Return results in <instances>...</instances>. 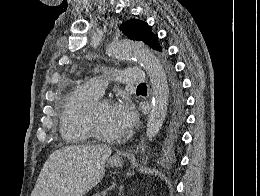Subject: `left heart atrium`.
Returning a JSON list of instances; mask_svg holds the SVG:
<instances>
[{
    "label": "left heart atrium",
    "mask_w": 260,
    "mask_h": 196,
    "mask_svg": "<svg viewBox=\"0 0 260 196\" xmlns=\"http://www.w3.org/2000/svg\"><path fill=\"white\" fill-rule=\"evenodd\" d=\"M112 113L121 132H127L137 121L135 107L127 99H121L112 105Z\"/></svg>",
    "instance_id": "39dd6f15"
}]
</instances>
